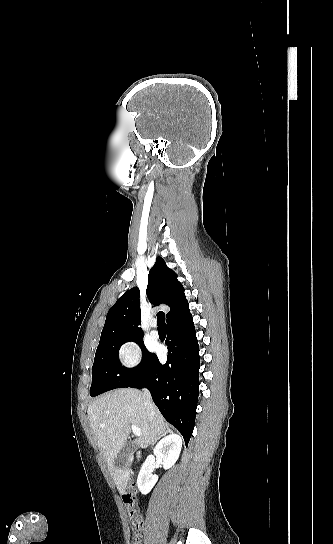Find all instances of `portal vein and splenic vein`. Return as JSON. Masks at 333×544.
Here are the masks:
<instances>
[{
  "label": "portal vein and splenic vein",
  "mask_w": 333,
  "mask_h": 544,
  "mask_svg": "<svg viewBox=\"0 0 333 544\" xmlns=\"http://www.w3.org/2000/svg\"><path fill=\"white\" fill-rule=\"evenodd\" d=\"M131 429H132L133 434H134L135 436H140V435H141V430H140V428H138L136 425L132 424V425H131Z\"/></svg>",
  "instance_id": "1"
}]
</instances>
